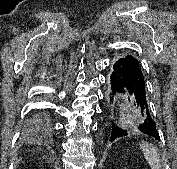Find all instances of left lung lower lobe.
Masks as SVG:
<instances>
[{
	"label": "left lung lower lobe",
	"mask_w": 177,
	"mask_h": 169,
	"mask_svg": "<svg viewBox=\"0 0 177 169\" xmlns=\"http://www.w3.org/2000/svg\"><path fill=\"white\" fill-rule=\"evenodd\" d=\"M110 79L114 106L121 103L137 106L144 117V122L138 127V130L159 140L156 123L151 117L146 98L144 70L140 61L132 55L115 60ZM125 135H127L126 130L112 123L110 141Z\"/></svg>",
	"instance_id": "left-lung-lower-lobe-1"
}]
</instances>
